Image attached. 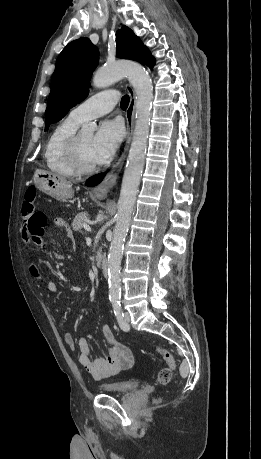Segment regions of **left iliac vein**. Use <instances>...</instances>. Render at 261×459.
Listing matches in <instances>:
<instances>
[{"mask_svg":"<svg viewBox=\"0 0 261 459\" xmlns=\"http://www.w3.org/2000/svg\"><path fill=\"white\" fill-rule=\"evenodd\" d=\"M131 320L130 314L128 312L125 313V321L129 323Z\"/></svg>","mask_w":261,"mask_h":459,"instance_id":"4c4485c4","label":"left iliac vein"}]
</instances>
